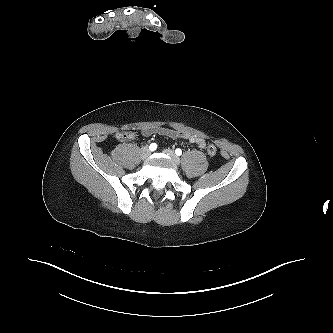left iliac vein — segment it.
I'll list each match as a JSON object with an SVG mask.
<instances>
[{
    "instance_id": "obj_1",
    "label": "left iliac vein",
    "mask_w": 333,
    "mask_h": 333,
    "mask_svg": "<svg viewBox=\"0 0 333 333\" xmlns=\"http://www.w3.org/2000/svg\"><path fill=\"white\" fill-rule=\"evenodd\" d=\"M164 152L174 158L176 162L179 161V156L172 149H164Z\"/></svg>"
}]
</instances>
